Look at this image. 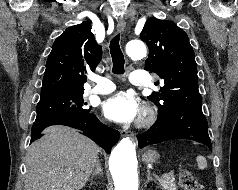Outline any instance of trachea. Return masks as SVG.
Segmentation results:
<instances>
[{"label": "trachea", "instance_id": "obj_1", "mask_svg": "<svg viewBox=\"0 0 238 190\" xmlns=\"http://www.w3.org/2000/svg\"><path fill=\"white\" fill-rule=\"evenodd\" d=\"M120 34L116 35L110 42V53L112 56L113 68L112 72L114 74L124 73V56L119 45Z\"/></svg>", "mask_w": 238, "mask_h": 190}]
</instances>
